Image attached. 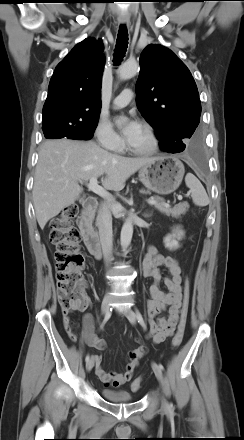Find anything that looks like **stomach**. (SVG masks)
Returning <instances> with one entry per match:
<instances>
[{
  "mask_svg": "<svg viewBox=\"0 0 244 440\" xmlns=\"http://www.w3.org/2000/svg\"><path fill=\"white\" fill-rule=\"evenodd\" d=\"M184 173V165L177 157L161 155L141 167L138 176L147 189L166 195L179 187Z\"/></svg>",
  "mask_w": 244,
  "mask_h": 440,
  "instance_id": "0dacf381",
  "label": "stomach"
}]
</instances>
